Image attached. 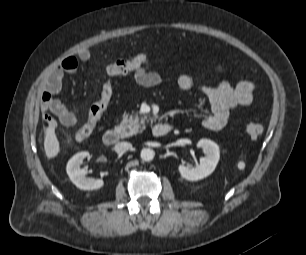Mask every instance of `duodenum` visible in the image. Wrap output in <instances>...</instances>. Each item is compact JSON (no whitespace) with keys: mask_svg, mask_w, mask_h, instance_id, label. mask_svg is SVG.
Listing matches in <instances>:
<instances>
[{"mask_svg":"<svg viewBox=\"0 0 306 255\" xmlns=\"http://www.w3.org/2000/svg\"><path fill=\"white\" fill-rule=\"evenodd\" d=\"M171 128L172 126L168 123H160L152 127L151 133L154 137H162L165 136L171 130ZM102 139L105 145H114L119 140V133L115 129H109L103 134Z\"/></svg>","mask_w":306,"mask_h":255,"instance_id":"obj_1","label":"duodenum"}]
</instances>
